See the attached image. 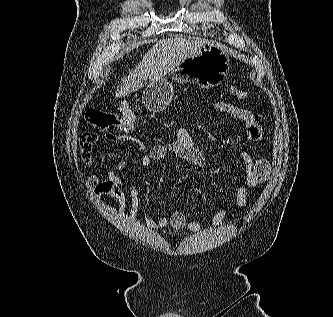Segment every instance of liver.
Here are the masks:
<instances>
[{
  "label": "liver",
  "mask_w": 333,
  "mask_h": 317,
  "mask_svg": "<svg viewBox=\"0 0 333 317\" xmlns=\"http://www.w3.org/2000/svg\"><path fill=\"white\" fill-rule=\"evenodd\" d=\"M207 43L201 38H168L158 41L143 57L138 66L123 79L117 88L116 97H124L137 91L148 79L164 77L182 61L195 56L199 48Z\"/></svg>",
  "instance_id": "6515ba94"
}]
</instances>
